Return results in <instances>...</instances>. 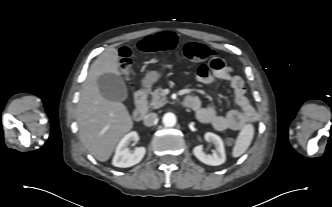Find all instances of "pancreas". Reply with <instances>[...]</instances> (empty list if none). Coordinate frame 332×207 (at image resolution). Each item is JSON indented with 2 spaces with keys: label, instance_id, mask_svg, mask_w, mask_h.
<instances>
[{
  "label": "pancreas",
  "instance_id": "pancreas-1",
  "mask_svg": "<svg viewBox=\"0 0 332 207\" xmlns=\"http://www.w3.org/2000/svg\"><path fill=\"white\" fill-rule=\"evenodd\" d=\"M151 95L152 98L150 102L146 101L148 107L157 109L164 106L167 103V98L161 87L157 88L154 92L151 93Z\"/></svg>",
  "mask_w": 332,
  "mask_h": 207
}]
</instances>
